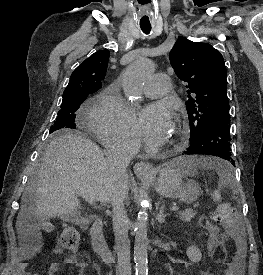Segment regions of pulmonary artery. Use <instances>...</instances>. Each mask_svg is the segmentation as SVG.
Here are the masks:
<instances>
[{
  "mask_svg": "<svg viewBox=\"0 0 263 275\" xmlns=\"http://www.w3.org/2000/svg\"><path fill=\"white\" fill-rule=\"evenodd\" d=\"M170 91V81L165 74H154L145 83L143 92L149 98L165 96Z\"/></svg>",
  "mask_w": 263,
  "mask_h": 275,
  "instance_id": "1",
  "label": "pulmonary artery"
}]
</instances>
